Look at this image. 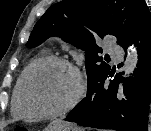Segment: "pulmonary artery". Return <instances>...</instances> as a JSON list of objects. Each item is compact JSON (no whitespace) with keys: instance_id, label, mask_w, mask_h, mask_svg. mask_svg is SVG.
I'll return each mask as SVG.
<instances>
[{"instance_id":"e3ab8cb5","label":"pulmonary artery","mask_w":151,"mask_h":131,"mask_svg":"<svg viewBox=\"0 0 151 131\" xmlns=\"http://www.w3.org/2000/svg\"><path fill=\"white\" fill-rule=\"evenodd\" d=\"M107 46H108V49L110 51V53L117 59H121L122 56H123V51L122 49L117 46L113 41L111 40H108L107 41Z\"/></svg>"}]
</instances>
